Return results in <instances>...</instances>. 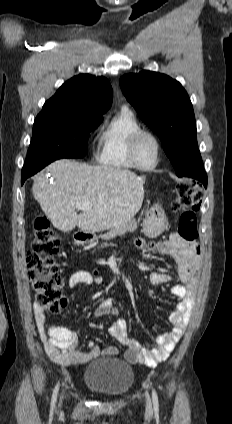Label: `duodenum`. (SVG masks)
Here are the masks:
<instances>
[{"label": "duodenum", "mask_w": 232, "mask_h": 424, "mask_svg": "<svg viewBox=\"0 0 232 424\" xmlns=\"http://www.w3.org/2000/svg\"><path fill=\"white\" fill-rule=\"evenodd\" d=\"M95 236L93 234H79L78 239L79 240H86V239H94Z\"/></svg>", "instance_id": "1"}]
</instances>
